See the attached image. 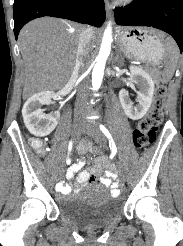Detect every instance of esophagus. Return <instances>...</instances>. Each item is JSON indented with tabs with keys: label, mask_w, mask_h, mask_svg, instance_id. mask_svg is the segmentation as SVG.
I'll list each match as a JSON object with an SVG mask.
<instances>
[{
	"label": "esophagus",
	"mask_w": 183,
	"mask_h": 246,
	"mask_svg": "<svg viewBox=\"0 0 183 246\" xmlns=\"http://www.w3.org/2000/svg\"><path fill=\"white\" fill-rule=\"evenodd\" d=\"M104 2L106 7V15L109 16L112 9V5L109 0H104Z\"/></svg>",
	"instance_id": "esophagus-1"
}]
</instances>
